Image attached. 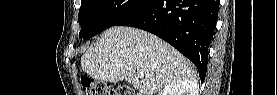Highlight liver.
Returning <instances> with one entry per match:
<instances>
[{
  "mask_svg": "<svg viewBox=\"0 0 277 95\" xmlns=\"http://www.w3.org/2000/svg\"><path fill=\"white\" fill-rule=\"evenodd\" d=\"M81 67L89 77L103 82L126 80L141 95H155L172 82H196L197 78L195 67L168 43L124 26L106 30L82 55Z\"/></svg>",
  "mask_w": 277,
  "mask_h": 95,
  "instance_id": "1",
  "label": "liver"
}]
</instances>
